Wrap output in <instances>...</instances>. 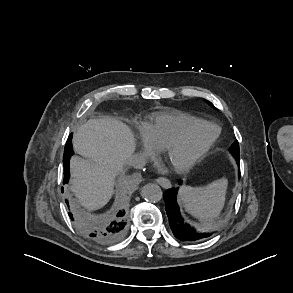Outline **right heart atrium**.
Masks as SVG:
<instances>
[{
  "mask_svg": "<svg viewBox=\"0 0 293 293\" xmlns=\"http://www.w3.org/2000/svg\"><path fill=\"white\" fill-rule=\"evenodd\" d=\"M143 151L147 156H151L154 153V148L145 140V143L143 144Z\"/></svg>",
  "mask_w": 293,
  "mask_h": 293,
  "instance_id": "right-heart-atrium-1",
  "label": "right heart atrium"
}]
</instances>
